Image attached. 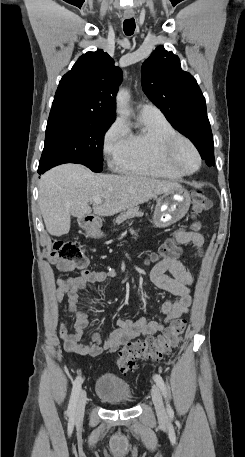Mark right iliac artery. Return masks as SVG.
<instances>
[{"label":"right iliac artery","instance_id":"right-iliac-artery-1","mask_svg":"<svg viewBox=\"0 0 245 457\" xmlns=\"http://www.w3.org/2000/svg\"><path fill=\"white\" fill-rule=\"evenodd\" d=\"M82 379L81 377H77L73 383V388L71 392V397L67 409V415L73 416L75 414L76 404L79 397V393L81 390Z\"/></svg>","mask_w":245,"mask_h":457}]
</instances>
